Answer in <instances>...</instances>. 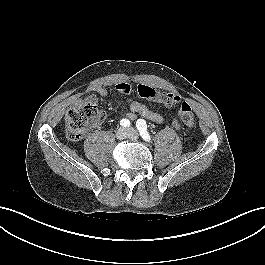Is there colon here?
Listing matches in <instances>:
<instances>
[{
  "label": "colon",
  "mask_w": 265,
  "mask_h": 265,
  "mask_svg": "<svg viewBox=\"0 0 265 265\" xmlns=\"http://www.w3.org/2000/svg\"><path fill=\"white\" fill-rule=\"evenodd\" d=\"M139 97L166 103H179L180 98L173 93H165L146 84L137 85ZM182 124L188 128L194 126V114L187 102H182L178 110ZM105 116L96 103L86 102L83 105L70 109L66 114V135L71 141L81 140L88 129L99 123Z\"/></svg>",
  "instance_id": "5ec220e1"
}]
</instances>
